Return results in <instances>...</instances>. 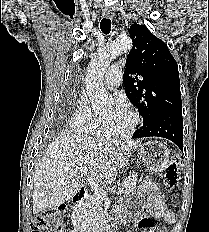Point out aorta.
I'll use <instances>...</instances> for the list:
<instances>
[{"mask_svg": "<svg viewBox=\"0 0 209 232\" xmlns=\"http://www.w3.org/2000/svg\"><path fill=\"white\" fill-rule=\"evenodd\" d=\"M132 48L130 39H117L104 50L100 51L88 65L85 85L92 108L101 112L111 107L112 100L104 87V75L110 63L119 55L129 52Z\"/></svg>", "mask_w": 209, "mask_h": 232, "instance_id": "obj_1", "label": "aorta"}]
</instances>
